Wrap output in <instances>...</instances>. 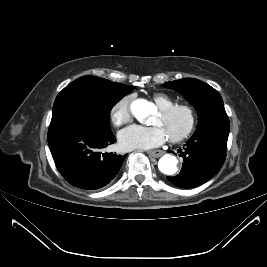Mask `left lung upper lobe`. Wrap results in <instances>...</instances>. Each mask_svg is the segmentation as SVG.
<instances>
[{"instance_id": "obj_1", "label": "left lung upper lobe", "mask_w": 267, "mask_h": 267, "mask_svg": "<svg viewBox=\"0 0 267 267\" xmlns=\"http://www.w3.org/2000/svg\"><path fill=\"white\" fill-rule=\"evenodd\" d=\"M182 94L197 110L198 128L229 124L221 95L210 85L194 78H184L162 84Z\"/></svg>"}]
</instances>
